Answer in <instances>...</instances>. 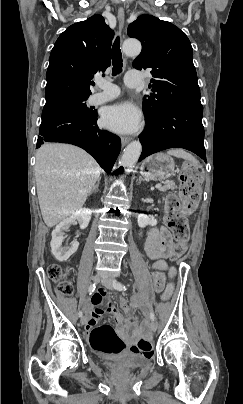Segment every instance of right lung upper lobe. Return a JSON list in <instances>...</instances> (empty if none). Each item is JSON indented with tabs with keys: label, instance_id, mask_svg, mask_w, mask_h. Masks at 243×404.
I'll return each mask as SVG.
<instances>
[{
	"label": "right lung upper lobe",
	"instance_id": "cb5924a9",
	"mask_svg": "<svg viewBox=\"0 0 243 404\" xmlns=\"http://www.w3.org/2000/svg\"><path fill=\"white\" fill-rule=\"evenodd\" d=\"M114 32L101 15L68 27L57 39L49 59L46 103L91 94V79L111 64Z\"/></svg>",
	"mask_w": 243,
	"mask_h": 404
}]
</instances>
